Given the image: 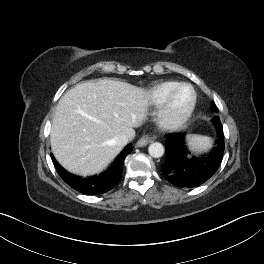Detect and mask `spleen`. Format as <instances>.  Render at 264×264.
Segmentation results:
<instances>
[{"label":"spleen","mask_w":264,"mask_h":264,"mask_svg":"<svg viewBox=\"0 0 264 264\" xmlns=\"http://www.w3.org/2000/svg\"><path fill=\"white\" fill-rule=\"evenodd\" d=\"M187 141L192 149L199 153L209 150L212 146V138L203 135L189 134Z\"/></svg>","instance_id":"obj_1"}]
</instances>
